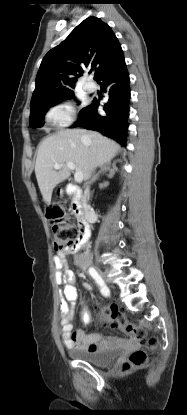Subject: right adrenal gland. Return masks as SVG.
<instances>
[{
    "instance_id": "1",
    "label": "right adrenal gland",
    "mask_w": 187,
    "mask_h": 415,
    "mask_svg": "<svg viewBox=\"0 0 187 415\" xmlns=\"http://www.w3.org/2000/svg\"><path fill=\"white\" fill-rule=\"evenodd\" d=\"M116 167H115V163L112 164V168H111V163H106L104 165L101 166L100 171L93 177L92 179V183L95 182L96 180H98L100 174L109 171L110 172V176H112L114 174Z\"/></svg>"
}]
</instances>
